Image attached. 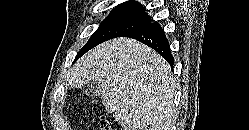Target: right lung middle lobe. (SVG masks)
I'll return each mask as SVG.
<instances>
[{"instance_id":"right-lung-middle-lobe-1","label":"right lung middle lobe","mask_w":249,"mask_h":130,"mask_svg":"<svg viewBox=\"0 0 249 130\" xmlns=\"http://www.w3.org/2000/svg\"><path fill=\"white\" fill-rule=\"evenodd\" d=\"M151 22V17L140 8L117 6L100 24L86 45L76 56L78 59L88 50L109 39L120 37Z\"/></svg>"}]
</instances>
